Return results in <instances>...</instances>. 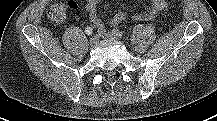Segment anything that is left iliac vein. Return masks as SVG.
I'll use <instances>...</instances> for the list:
<instances>
[{"label": "left iliac vein", "mask_w": 217, "mask_h": 121, "mask_svg": "<svg viewBox=\"0 0 217 121\" xmlns=\"http://www.w3.org/2000/svg\"><path fill=\"white\" fill-rule=\"evenodd\" d=\"M103 38H106V39H113V40H117L119 39L118 36H116L113 32H107V33H104L102 35Z\"/></svg>", "instance_id": "4c4485c4"}]
</instances>
